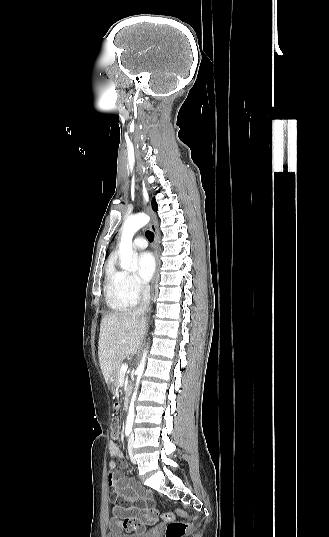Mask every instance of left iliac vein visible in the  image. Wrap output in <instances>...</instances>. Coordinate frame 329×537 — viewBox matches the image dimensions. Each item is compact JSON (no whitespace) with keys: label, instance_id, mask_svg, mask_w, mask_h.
I'll list each match as a JSON object with an SVG mask.
<instances>
[{"label":"left iliac vein","instance_id":"left-iliac-vein-1","mask_svg":"<svg viewBox=\"0 0 329 537\" xmlns=\"http://www.w3.org/2000/svg\"><path fill=\"white\" fill-rule=\"evenodd\" d=\"M133 445H134V435L131 434L130 438H129V441H128V451H129V455H130V458H131V461L133 463H135V458L133 456Z\"/></svg>","mask_w":329,"mask_h":537}]
</instances>
